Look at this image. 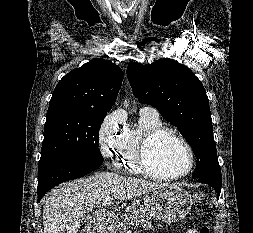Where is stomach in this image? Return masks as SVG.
I'll use <instances>...</instances> for the list:
<instances>
[{
	"label": "stomach",
	"mask_w": 253,
	"mask_h": 233,
	"mask_svg": "<svg viewBox=\"0 0 253 233\" xmlns=\"http://www.w3.org/2000/svg\"><path fill=\"white\" fill-rule=\"evenodd\" d=\"M192 203L189 192L177 185L162 186L144 196L145 209L164 223H174L185 218Z\"/></svg>",
	"instance_id": "obj_1"
}]
</instances>
